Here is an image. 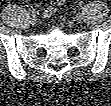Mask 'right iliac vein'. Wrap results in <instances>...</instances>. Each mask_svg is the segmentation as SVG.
Returning a JSON list of instances; mask_svg holds the SVG:
<instances>
[{
	"instance_id": "obj_1",
	"label": "right iliac vein",
	"mask_w": 111,
	"mask_h": 106,
	"mask_svg": "<svg viewBox=\"0 0 111 106\" xmlns=\"http://www.w3.org/2000/svg\"><path fill=\"white\" fill-rule=\"evenodd\" d=\"M32 25H35L37 23V17L35 15L30 16V21Z\"/></svg>"
}]
</instances>
